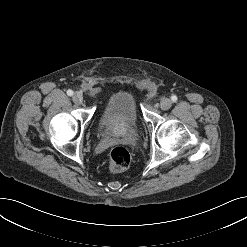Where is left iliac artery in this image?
<instances>
[{"label": "left iliac artery", "mask_w": 247, "mask_h": 247, "mask_svg": "<svg viewBox=\"0 0 247 247\" xmlns=\"http://www.w3.org/2000/svg\"><path fill=\"white\" fill-rule=\"evenodd\" d=\"M171 100H172L173 102H176V101H177V96H176V95H173V96L171 97Z\"/></svg>", "instance_id": "44dca946"}]
</instances>
